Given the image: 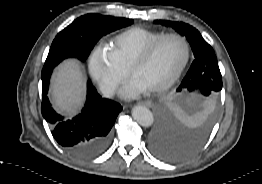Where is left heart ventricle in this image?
Here are the masks:
<instances>
[{
	"instance_id": "left-heart-ventricle-1",
	"label": "left heart ventricle",
	"mask_w": 262,
	"mask_h": 184,
	"mask_svg": "<svg viewBox=\"0 0 262 184\" xmlns=\"http://www.w3.org/2000/svg\"><path fill=\"white\" fill-rule=\"evenodd\" d=\"M185 54V46L180 39L167 38L157 46L150 59L135 71L134 78L147 89L160 86L178 70Z\"/></svg>"
}]
</instances>
